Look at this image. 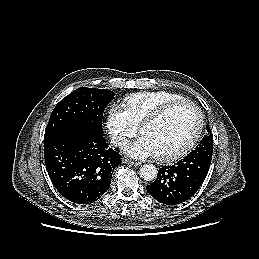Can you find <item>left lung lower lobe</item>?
Here are the masks:
<instances>
[{
    "label": "left lung lower lobe",
    "instance_id": "left-lung-lower-lobe-1",
    "mask_svg": "<svg viewBox=\"0 0 259 259\" xmlns=\"http://www.w3.org/2000/svg\"><path fill=\"white\" fill-rule=\"evenodd\" d=\"M211 160L188 154L176 164L162 167L156 180L147 186L148 193L158 202L167 205L188 200L204 182Z\"/></svg>",
    "mask_w": 259,
    "mask_h": 259
}]
</instances>
